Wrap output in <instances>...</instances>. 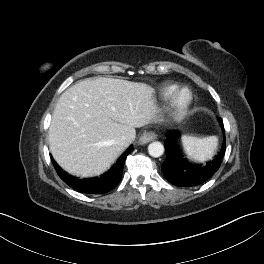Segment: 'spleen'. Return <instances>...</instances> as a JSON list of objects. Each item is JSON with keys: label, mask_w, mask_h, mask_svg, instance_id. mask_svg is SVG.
Segmentation results:
<instances>
[{"label": "spleen", "mask_w": 264, "mask_h": 264, "mask_svg": "<svg viewBox=\"0 0 264 264\" xmlns=\"http://www.w3.org/2000/svg\"><path fill=\"white\" fill-rule=\"evenodd\" d=\"M181 142L188 157L197 162L211 159L218 146L217 136L199 138L184 135L181 137Z\"/></svg>", "instance_id": "spleen-1"}]
</instances>
